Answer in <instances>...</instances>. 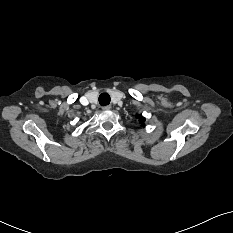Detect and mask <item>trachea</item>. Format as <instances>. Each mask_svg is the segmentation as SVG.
Wrapping results in <instances>:
<instances>
[{"instance_id": "3493384b", "label": "trachea", "mask_w": 233, "mask_h": 233, "mask_svg": "<svg viewBox=\"0 0 233 233\" xmlns=\"http://www.w3.org/2000/svg\"><path fill=\"white\" fill-rule=\"evenodd\" d=\"M111 99L108 93H102L99 96V104L101 106H106L110 103Z\"/></svg>"}]
</instances>
